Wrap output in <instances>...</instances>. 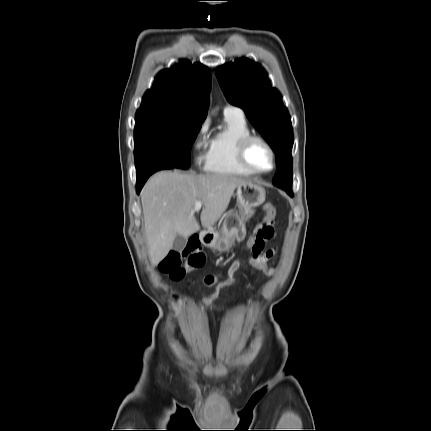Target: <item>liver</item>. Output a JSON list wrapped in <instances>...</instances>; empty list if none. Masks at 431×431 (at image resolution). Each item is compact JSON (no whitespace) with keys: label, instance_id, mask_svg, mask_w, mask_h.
Instances as JSON below:
<instances>
[{"label":"liver","instance_id":"6515ba94","mask_svg":"<svg viewBox=\"0 0 431 431\" xmlns=\"http://www.w3.org/2000/svg\"><path fill=\"white\" fill-rule=\"evenodd\" d=\"M248 180L225 174H184L161 171L154 174L141 192L144 227L153 265L173 247L177 235L188 237L199 230L194 206L201 201L204 229L212 230L227 209L234 190Z\"/></svg>","mask_w":431,"mask_h":431}]
</instances>
